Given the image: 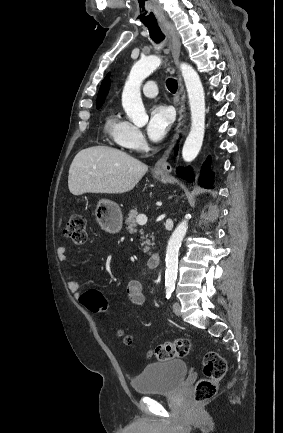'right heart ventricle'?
Wrapping results in <instances>:
<instances>
[{
    "mask_svg": "<svg viewBox=\"0 0 283 433\" xmlns=\"http://www.w3.org/2000/svg\"><path fill=\"white\" fill-rule=\"evenodd\" d=\"M127 125L128 123L121 120L115 112H111L105 117L104 130L117 140L125 131Z\"/></svg>",
    "mask_w": 283,
    "mask_h": 433,
    "instance_id": "obj_1",
    "label": "right heart ventricle"
}]
</instances>
